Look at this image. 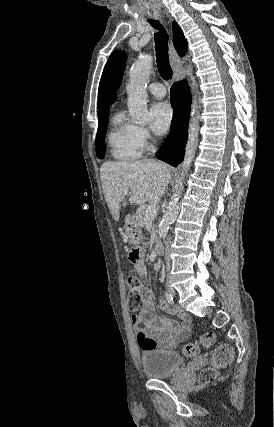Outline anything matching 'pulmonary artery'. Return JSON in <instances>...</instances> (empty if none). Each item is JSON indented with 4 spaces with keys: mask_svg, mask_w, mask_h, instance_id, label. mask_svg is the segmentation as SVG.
<instances>
[{
    "mask_svg": "<svg viewBox=\"0 0 274 427\" xmlns=\"http://www.w3.org/2000/svg\"><path fill=\"white\" fill-rule=\"evenodd\" d=\"M148 91L156 97H164L166 95V88L161 83H151L148 86Z\"/></svg>",
    "mask_w": 274,
    "mask_h": 427,
    "instance_id": "1",
    "label": "pulmonary artery"
}]
</instances>
